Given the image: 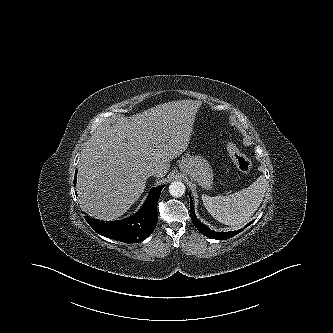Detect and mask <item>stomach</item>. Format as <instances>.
<instances>
[{
  "label": "stomach",
  "mask_w": 333,
  "mask_h": 333,
  "mask_svg": "<svg viewBox=\"0 0 333 333\" xmlns=\"http://www.w3.org/2000/svg\"><path fill=\"white\" fill-rule=\"evenodd\" d=\"M179 169L204 188H210L213 183L211 165L203 156L194 152L188 151L182 156Z\"/></svg>",
  "instance_id": "obj_1"
}]
</instances>
